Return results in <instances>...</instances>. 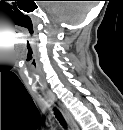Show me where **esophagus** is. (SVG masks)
<instances>
[{"instance_id":"34e87169","label":"esophagus","mask_w":123,"mask_h":130,"mask_svg":"<svg viewBox=\"0 0 123 130\" xmlns=\"http://www.w3.org/2000/svg\"><path fill=\"white\" fill-rule=\"evenodd\" d=\"M58 104L66 118V120L68 121L71 130H79L78 124L76 123V121L74 120L72 114L70 113V111L66 108V106L61 103L60 101H58Z\"/></svg>"}]
</instances>
